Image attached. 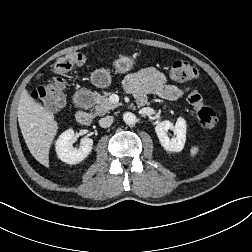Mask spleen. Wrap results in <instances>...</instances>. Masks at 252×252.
Instances as JSON below:
<instances>
[{
  "instance_id": "spleen-1",
  "label": "spleen",
  "mask_w": 252,
  "mask_h": 252,
  "mask_svg": "<svg viewBox=\"0 0 252 252\" xmlns=\"http://www.w3.org/2000/svg\"><path fill=\"white\" fill-rule=\"evenodd\" d=\"M199 151V148L197 146H193L191 149H190V156L191 157H194Z\"/></svg>"
}]
</instances>
